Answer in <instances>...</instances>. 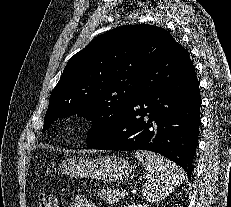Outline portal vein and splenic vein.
<instances>
[{"label": "portal vein and splenic vein", "mask_w": 231, "mask_h": 207, "mask_svg": "<svg viewBox=\"0 0 231 207\" xmlns=\"http://www.w3.org/2000/svg\"><path fill=\"white\" fill-rule=\"evenodd\" d=\"M121 195H122V196H126V195H128V193H127L126 190H122Z\"/></svg>", "instance_id": "portal-vein-and-splenic-vein-1"}]
</instances>
